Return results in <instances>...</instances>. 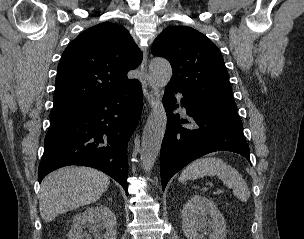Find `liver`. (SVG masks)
<instances>
[{"label": "liver", "mask_w": 304, "mask_h": 239, "mask_svg": "<svg viewBox=\"0 0 304 239\" xmlns=\"http://www.w3.org/2000/svg\"><path fill=\"white\" fill-rule=\"evenodd\" d=\"M109 184V177L93 168H60L47 175L41 183L40 215L45 222H50L59 214L96 202Z\"/></svg>", "instance_id": "liver-1"}]
</instances>
